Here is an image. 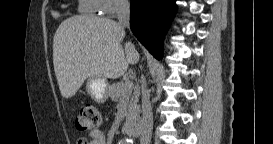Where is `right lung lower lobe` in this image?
Masks as SVG:
<instances>
[{"label": "right lung lower lobe", "instance_id": "right-lung-lower-lobe-1", "mask_svg": "<svg viewBox=\"0 0 273 144\" xmlns=\"http://www.w3.org/2000/svg\"><path fill=\"white\" fill-rule=\"evenodd\" d=\"M176 0H131L130 28L157 59H162V41L174 16Z\"/></svg>", "mask_w": 273, "mask_h": 144}]
</instances>
